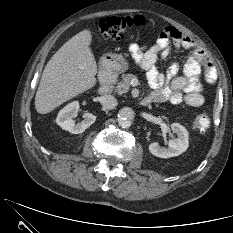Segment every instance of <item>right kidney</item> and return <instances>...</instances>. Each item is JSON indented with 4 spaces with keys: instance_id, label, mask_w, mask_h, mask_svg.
I'll use <instances>...</instances> for the list:
<instances>
[{
    "instance_id": "1",
    "label": "right kidney",
    "mask_w": 233,
    "mask_h": 233,
    "mask_svg": "<svg viewBox=\"0 0 233 233\" xmlns=\"http://www.w3.org/2000/svg\"><path fill=\"white\" fill-rule=\"evenodd\" d=\"M79 102L74 101L66 105L62 110L59 111L56 118V123L66 131L72 134L83 133L90 125H92L96 116L91 113H84L83 120L75 124L74 118L78 115Z\"/></svg>"
}]
</instances>
